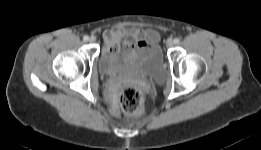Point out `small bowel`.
Listing matches in <instances>:
<instances>
[{
  "mask_svg": "<svg viewBox=\"0 0 261 150\" xmlns=\"http://www.w3.org/2000/svg\"><path fill=\"white\" fill-rule=\"evenodd\" d=\"M146 37L141 36V32L137 29L115 28L107 32L105 35L106 44L108 47H116L120 44L133 45L137 49H147L150 46V38L157 37L153 30H148Z\"/></svg>",
  "mask_w": 261,
  "mask_h": 150,
  "instance_id": "small-bowel-1",
  "label": "small bowel"
}]
</instances>
